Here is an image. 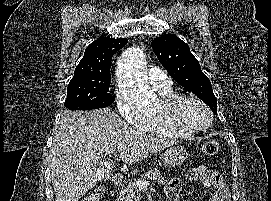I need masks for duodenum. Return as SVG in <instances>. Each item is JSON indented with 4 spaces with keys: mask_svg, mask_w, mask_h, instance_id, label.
Returning a JSON list of instances; mask_svg holds the SVG:
<instances>
[{
    "mask_svg": "<svg viewBox=\"0 0 271 201\" xmlns=\"http://www.w3.org/2000/svg\"><path fill=\"white\" fill-rule=\"evenodd\" d=\"M123 175L121 173H116L111 181L113 187H118L123 183Z\"/></svg>",
    "mask_w": 271,
    "mask_h": 201,
    "instance_id": "410a0bca",
    "label": "duodenum"
}]
</instances>
